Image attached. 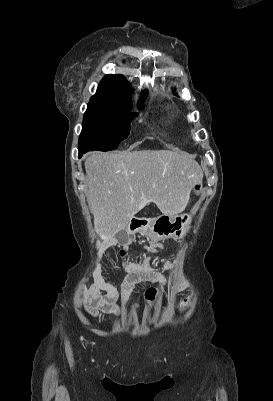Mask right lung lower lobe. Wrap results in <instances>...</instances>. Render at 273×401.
Here are the masks:
<instances>
[{
	"label": "right lung lower lobe",
	"instance_id": "98d812e1",
	"mask_svg": "<svg viewBox=\"0 0 273 401\" xmlns=\"http://www.w3.org/2000/svg\"><path fill=\"white\" fill-rule=\"evenodd\" d=\"M82 154H83L82 152H79V157H80Z\"/></svg>",
	"mask_w": 273,
	"mask_h": 401
}]
</instances>
